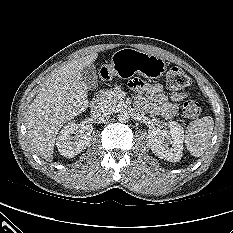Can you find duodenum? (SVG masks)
Masks as SVG:
<instances>
[{"label":"duodenum","mask_w":233,"mask_h":233,"mask_svg":"<svg viewBox=\"0 0 233 233\" xmlns=\"http://www.w3.org/2000/svg\"><path fill=\"white\" fill-rule=\"evenodd\" d=\"M99 102H100V96L96 95L92 98L90 105L91 107H96L99 104Z\"/></svg>","instance_id":"1"}]
</instances>
